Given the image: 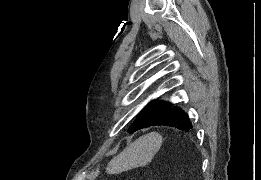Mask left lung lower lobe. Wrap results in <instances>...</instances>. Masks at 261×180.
<instances>
[{
	"instance_id": "obj_1",
	"label": "left lung lower lobe",
	"mask_w": 261,
	"mask_h": 180,
	"mask_svg": "<svg viewBox=\"0 0 261 180\" xmlns=\"http://www.w3.org/2000/svg\"><path fill=\"white\" fill-rule=\"evenodd\" d=\"M169 126L189 131L192 128L190 119L180 108H168L151 126Z\"/></svg>"
}]
</instances>
